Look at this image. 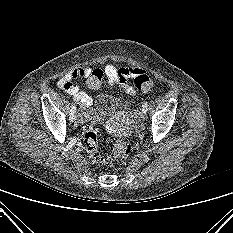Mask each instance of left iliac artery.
<instances>
[{"instance_id": "obj_1", "label": "left iliac artery", "mask_w": 233, "mask_h": 233, "mask_svg": "<svg viewBox=\"0 0 233 233\" xmlns=\"http://www.w3.org/2000/svg\"><path fill=\"white\" fill-rule=\"evenodd\" d=\"M147 108H148V103L144 102L143 105H142V109L146 112Z\"/></svg>"}]
</instances>
